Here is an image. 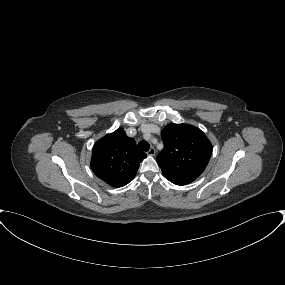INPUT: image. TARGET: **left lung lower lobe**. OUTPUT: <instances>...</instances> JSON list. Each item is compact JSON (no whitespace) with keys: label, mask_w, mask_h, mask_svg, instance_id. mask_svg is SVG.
<instances>
[{"label":"left lung lower lobe","mask_w":285,"mask_h":285,"mask_svg":"<svg viewBox=\"0 0 285 285\" xmlns=\"http://www.w3.org/2000/svg\"><path fill=\"white\" fill-rule=\"evenodd\" d=\"M170 182L176 185H187L191 182H193V179H188V178H183V177H177V176H169V175H164Z\"/></svg>","instance_id":"obj_1"}]
</instances>
